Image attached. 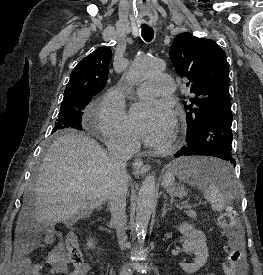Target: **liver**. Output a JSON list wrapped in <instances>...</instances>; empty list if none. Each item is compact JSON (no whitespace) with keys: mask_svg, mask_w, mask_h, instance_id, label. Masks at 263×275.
Masks as SVG:
<instances>
[{"mask_svg":"<svg viewBox=\"0 0 263 275\" xmlns=\"http://www.w3.org/2000/svg\"><path fill=\"white\" fill-rule=\"evenodd\" d=\"M110 156L93 139L69 132L49 146L35 183L33 209L24 204L25 218L37 223L74 222L109 199Z\"/></svg>","mask_w":263,"mask_h":275,"instance_id":"6515ba94","label":"liver"}]
</instances>
